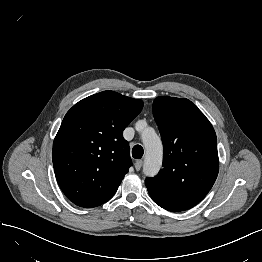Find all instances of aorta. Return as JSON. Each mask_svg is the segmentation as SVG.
<instances>
[{
  "label": "aorta",
  "instance_id": "aorta-1",
  "mask_svg": "<svg viewBox=\"0 0 262 262\" xmlns=\"http://www.w3.org/2000/svg\"><path fill=\"white\" fill-rule=\"evenodd\" d=\"M136 129L141 132L146 155L144 159L143 172L147 176H155L162 165L163 146L161 139L155 130L147 127L146 123L139 121Z\"/></svg>",
  "mask_w": 262,
  "mask_h": 262
}]
</instances>
